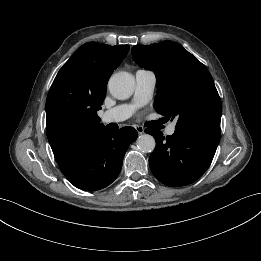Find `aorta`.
<instances>
[{
	"label": "aorta",
	"mask_w": 261,
	"mask_h": 261,
	"mask_svg": "<svg viewBox=\"0 0 261 261\" xmlns=\"http://www.w3.org/2000/svg\"><path fill=\"white\" fill-rule=\"evenodd\" d=\"M135 87L134 77L128 72L113 74L108 82V88L113 97L119 100L129 98ZM137 148L143 153H150L155 148V139L149 134H142L137 139Z\"/></svg>",
	"instance_id": "obj_1"
}]
</instances>
